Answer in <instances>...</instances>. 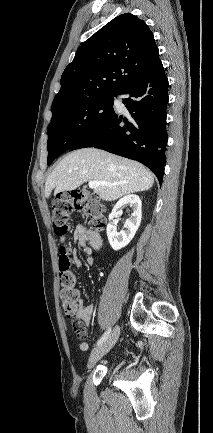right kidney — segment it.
<instances>
[{
  "label": "right kidney",
  "instance_id": "right-kidney-1",
  "mask_svg": "<svg viewBox=\"0 0 213 433\" xmlns=\"http://www.w3.org/2000/svg\"><path fill=\"white\" fill-rule=\"evenodd\" d=\"M129 204L133 213L131 218L127 219L124 224V230L117 232V228L115 225L109 223L107 225V236L110 243V246L113 250L118 251L121 248L125 247L129 244V242L133 239L136 231L138 230L141 217H142V202L139 196L130 194L121 198L116 205L113 207L111 214L109 215V221L113 220L115 217L122 215L123 206Z\"/></svg>",
  "mask_w": 213,
  "mask_h": 433
}]
</instances>
